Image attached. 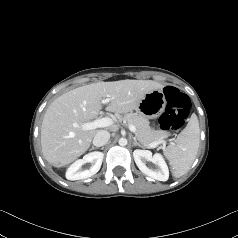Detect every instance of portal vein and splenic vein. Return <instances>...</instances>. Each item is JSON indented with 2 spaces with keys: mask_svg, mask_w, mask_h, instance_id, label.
<instances>
[{
  "mask_svg": "<svg viewBox=\"0 0 238 238\" xmlns=\"http://www.w3.org/2000/svg\"><path fill=\"white\" fill-rule=\"evenodd\" d=\"M109 101L110 100L108 98H106V99L102 100V103L107 104V103H109ZM112 124H113V121L109 117L97 118L92 122L84 123L82 125V129L83 130H93V129H97V128L108 127V126H111ZM128 128L131 132H133V133L136 132V127L134 125H129ZM161 143L165 144L166 142L162 141V140L153 142V143L149 144V148H155Z\"/></svg>",
  "mask_w": 238,
  "mask_h": 238,
  "instance_id": "portal-vein-and-splenic-vein-1",
  "label": "portal vein and splenic vein"
}]
</instances>
